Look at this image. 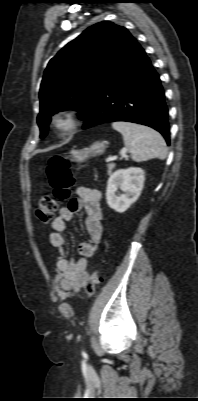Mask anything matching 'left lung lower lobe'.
I'll list each match as a JSON object with an SVG mask.
<instances>
[{
  "label": "left lung lower lobe",
  "instance_id": "obj_1",
  "mask_svg": "<svg viewBox=\"0 0 198 401\" xmlns=\"http://www.w3.org/2000/svg\"><path fill=\"white\" fill-rule=\"evenodd\" d=\"M83 120V129L114 121L143 124L159 131L170 144L164 91L139 43L110 75Z\"/></svg>",
  "mask_w": 198,
  "mask_h": 401
}]
</instances>
